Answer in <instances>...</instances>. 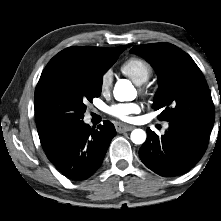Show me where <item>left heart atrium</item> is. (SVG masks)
Returning <instances> with one entry per match:
<instances>
[{
    "label": "left heart atrium",
    "mask_w": 221,
    "mask_h": 221,
    "mask_svg": "<svg viewBox=\"0 0 221 221\" xmlns=\"http://www.w3.org/2000/svg\"><path fill=\"white\" fill-rule=\"evenodd\" d=\"M140 111V107L136 103H120L111 106L108 113L116 118L129 121L132 116Z\"/></svg>",
    "instance_id": "left-heart-atrium-1"
}]
</instances>
